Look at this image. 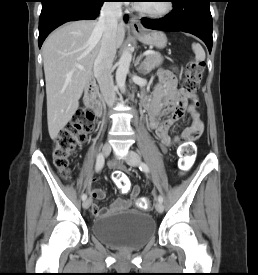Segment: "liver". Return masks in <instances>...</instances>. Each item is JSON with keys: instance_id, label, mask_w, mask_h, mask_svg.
<instances>
[{"instance_id": "6515ba94", "label": "liver", "mask_w": 258, "mask_h": 275, "mask_svg": "<svg viewBox=\"0 0 258 275\" xmlns=\"http://www.w3.org/2000/svg\"><path fill=\"white\" fill-rule=\"evenodd\" d=\"M125 31V25L119 23L117 47L123 43ZM102 36L96 20H80L58 28L43 44L47 123L53 140L79 107V99L93 75Z\"/></svg>"}]
</instances>
